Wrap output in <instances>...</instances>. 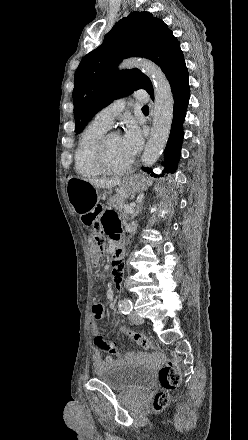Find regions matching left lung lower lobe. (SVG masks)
Returning <instances> with one entry per match:
<instances>
[{
  "instance_id": "obj_1",
  "label": "left lung lower lobe",
  "mask_w": 248,
  "mask_h": 440,
  "mask_svg": "<svg viewBox=\"0 0 248 440\" xmlns=\"http://www.w3.org/2000/svg\"><path fill=\"white\" fill-rule=\"evenodd\" d=\"M189 77L176 81L171 85L173 97H174V115L170 131V136L164 151L165 156V169L162 173H173L176 169L177 162L180 156L181 144L183 139V121L186 115V108L190 97ZM152 99H154L152 97ZM164 164V163H162ZM147 173H151V176L157 177L153 171L148 168H142ZM163 175V174H161Z\"/></svg>"
}]
</instances>
